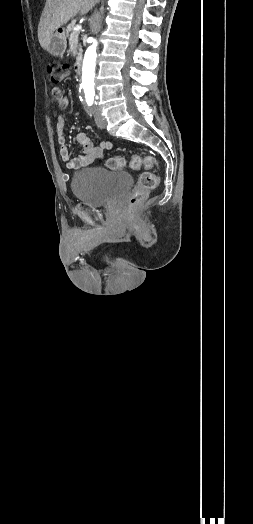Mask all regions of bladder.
I'll use <instances>...</instances> for the list:
<instances>
[{
  "instance_id": "obj_1",
  "label": "bladder",
  "mask_w": 253,
  "mask_h": 524,
  "mask_svg": "<svg viewBox=\"0 0 253 524\" xmlns=\"http://www.w3.org/2000/svg\"><path fill=\"white\" fill-rule=\"evenodd\" d=\"M132 185L124 171L112 172L102 167H89L73 174L74 197L90 206H104L119 198Z\"/></svg>"
}]
</instances>
